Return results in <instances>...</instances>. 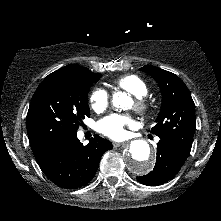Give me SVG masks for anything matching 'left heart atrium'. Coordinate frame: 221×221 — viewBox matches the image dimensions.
Segmentation results:
<instances>
[{"label": "left heart atrium", "instance_id": "39dd6f15", "mask_svg": "<svg viewBox=\"0 0 221 221\" xmlns=\"http://www.w3.org/2000/svg\"><path fill=\"white\" fill-rule=\"evenodd\" d=\"M134 124L128 115L111 114L100 120L98 129L105 136L118 140L126 136V127H133Z\"/></svg>", "mask_w": 221, "mask_h": 221}]
</instances>
